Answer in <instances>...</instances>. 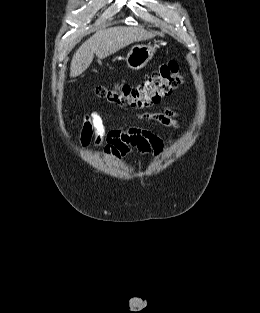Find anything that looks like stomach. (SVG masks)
<instances>
[{
    "label": "stomach",
    "mask_w": 260,
    "mask_h": 313,
    "mask_svg": "<svg viewBox=\"0 0 260 313\" xmlns=\"http://www.w3.org/2000/svg\"><path fill=\"white\" fill-rule=\"evenodd\" d=\"M157 50L156 45L136 44L131 47L125 57L128 68L140 70L153 58Z\"/></svg>",
    "instance_id": "0dacf381"
}]
</instances>
